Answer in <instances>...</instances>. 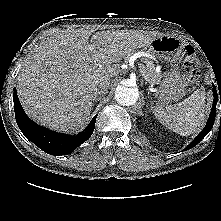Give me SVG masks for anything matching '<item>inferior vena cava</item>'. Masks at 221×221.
<instances>
[{
    "mask_svg": "<svg viewBox=\"0 0 221 221\" xmlns=\"http://www.w3.org/2000/svg\"><path fill=\"white\" fill-rule=\"evenodd\" d=\"M108 92V88L106 86H101L95 90L93 93V100L100 99L104 97Z\"/></svg>",
    "mask_w": 221,
    "mask_h": 221,
    "instance_id": "602c4592",
    "label": "inferior vena cava"
}]
</instances>
